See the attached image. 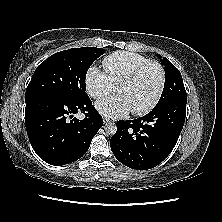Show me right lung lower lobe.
I'll use <instances>...</instances> for the list:
<instances>
[{"instance_id":"1","label":"right lung lower lobe","mask_w":222,"mask_h":222,"mask_svg":"<svg viewBox=\"0 0 222 222\" xmlns=\"http://www.w3.org/2000/svg\"><path fill=\"white\" fill-rule=\"evenodd\" d=\"M81 112L83 120L73 117ZM25 124L36 154L51 165H64L81 158L103 125L90 98L40 95L26 102Z\"/></svg>"}]
</instances>
